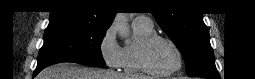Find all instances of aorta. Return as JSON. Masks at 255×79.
<instances>
[{
  "mask_svg": "<svg viewBox=\"0 0 255 79\" xmlns=\"http://www.w3.org/2000/svg\"><path fill=\"white\" fill-rule=\"evenodd\" d=\"M112 26L117 30L118 34L122 38H128L129 36V26L124 13H117L115 16Z\"/></svg>",
  "mask_w": 255,
  "mask_h": 79,
  "instance_id": "aorta-1",
  "label": "aorta"
}]
</instances>
